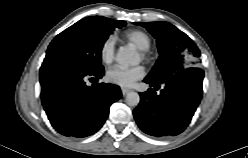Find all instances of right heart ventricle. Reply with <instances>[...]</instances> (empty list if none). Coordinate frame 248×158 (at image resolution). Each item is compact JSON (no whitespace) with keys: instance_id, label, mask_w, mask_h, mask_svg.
Masks as SVG:
<instances>
[{"instance_id":"obj_1","label":"right heart ventricle","mask_w":248,"mask_h":158,"mask_svg":"<svg viewBox=\"0 0 248 158\" xmlns=\"http://www.w3.org/2000/svg\"><path fill=\"white\" fill-rule=\"evenodd\" d=\"M124 37L140 50H146L150 46V38L143 31L131 30L126 32Z\"/></svg>"}]
</instances>
